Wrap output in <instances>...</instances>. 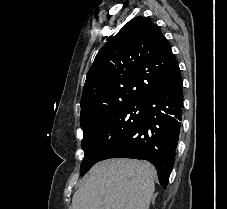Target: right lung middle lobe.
<instances>
[{
  "mask_svg": "<svg viewBox=\"0 0 227 209\" xmlns=\"http://www.w3.org/2000/svg\"><path fill=\"white\" fill-rule=\"evenodd\" d=\"M101 104L105 107L102 113L80 120L84 150L82 176L137 124L144 106L142 101L115 98L103 99Z\"/></svg>",
  "mask_w": 227,
  "mask_h": 209,
  "instance_id": "1",
  "label": "right lung middle lobe"
}]
</instances>
